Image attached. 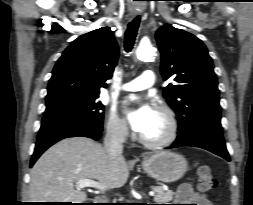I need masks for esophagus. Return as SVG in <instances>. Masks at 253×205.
<instances>
[{
	"label": "esophagus",
	"instance_id": "1",
	"mask_svg": "<svg viewBox=\"0 0 253 205\" xmlns=\"http://www.w3.org/2000/svg\"><path fill=\"white\" fill-rule=\"evenodd\" d=\"M131 15H132V17H135L137 14L136 13H132Z\"/></svg>",
	"mask_w": 253,
	"mask_h": 205
}]
</instances>
